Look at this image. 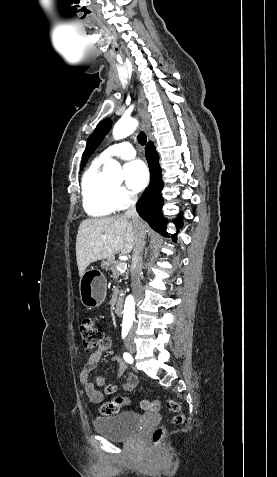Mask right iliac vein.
Listing matches in <instances>:
<instances>
[{
  "label": "right iliac vein",
  "instance_id": "1",
  "mask_svg": "<svg viewBox=\"0 0 277 477\" xmlns=\"http://www.w3.org/2000/svg\"><path fill=\"white\" fill-rule=\"evenodd\" d=\"M126 348L128 349V351L130 353H134L135 352V345L131 342H127L126 343Z\"/></svg>",
  "mask_w": 277,
  "mask_h": 477
}]
</instances>
